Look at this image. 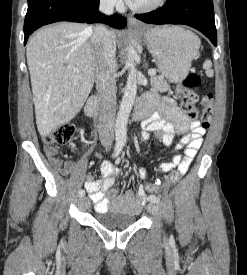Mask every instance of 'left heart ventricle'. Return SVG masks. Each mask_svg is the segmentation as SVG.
<instances>
[{
  "instance_id": "1",
  "label": "left heart ventricle",
  "mask_w": 247,
  "mask_h": 275,
  "mask_svg": "<svg viewBox=\"0 0 247 275\" xmlns=\"http://www.w3.org/2000/svg\"><path fill=\"white\" fill-rule=\"evenodd\" d=\"M154 0H135V2L133 3L134 6H145L151 2H153Z\"/></svg>"
}]
</instances>
